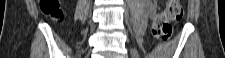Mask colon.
Returning a JSON list of instances; mask_svg holds the SVG:
<instances>
[{
	"instance_id": "5ec220e1",
	"label": "colon",
	"mask_w": 225,
	"mask_h": 58,
	"mask_svg": "<svg viewBox=\"0 0 225 58\" xmlns=\"http://www.w3.org/2000/svg\"><path fill=\"white\" fill-rule=\"evenodd\" d=\"M40 9L43 14L59 23L63 19V11L57 0H42ZM184 15V9L178 0H170L163 12L159 13L153 23V35L156 39L168 42L173 33L174 22L179 21Z\"/></svg>"
}]
</instances>
